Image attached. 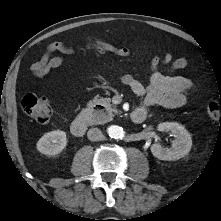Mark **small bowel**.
<instances>
[{
    "label": "small bowel",
    "instance_id": "c3829d8e",
    "mask_svg": "<svg viewBox=\"0 0 221 221\" xmlns=\"http://www.w3.org/2000/svg\"><path fill=\"white\" fill-rule=\"evenodd\" d=\"M108 49L119 57L126 58L131 55L130 49L126 47L108 46ZM56 51L71 54L74 49L56 41L49 43L42 57L31 65V71L34 76L43 78L50 70L58 68L64 63L62 56L52 55ZM188 64L185 58L173 60L170 53L165 54L163 58L155 55L150 62L151 74L148 86H145L130 74L123 75L121 81L129 86L134 94L143 98L138 109L147 112L149 108L155 105L170 108L181 107L186 104L188 95L193 91L194 85L189 79L172 73L188 67ZM162 65H170L171 73H162L159 70Z\"/></svg>",
    "mask_w": 221,
    "mask_h": 221
}]
</instances>
